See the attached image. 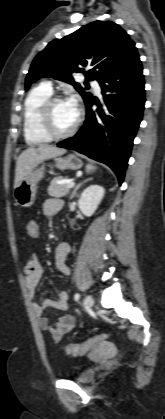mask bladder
I'll list each match as a JSON object with an SVG mask.
<instances>
[{
    "label": "bladder",
    "instance_id": "bladder-1",
    "mask_svg": "<svg viewBox=\"0 0 165 419\" xmlns=\"http://www.w3.org/2000/svg\"><path fill=\"white\" fill-rule=\"evenodd\" d=\"M96 377V371L94 369H84L76 375L75 380L79 383H89Z\"/></svg>",
    "mask_w": 165,
    "mask_h": 419
}]
</instances>
